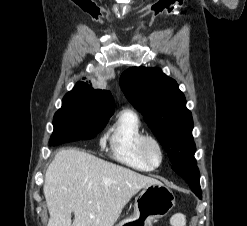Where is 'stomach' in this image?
I'll return each instance as SVG.
<instances>
[{
    "label": "stomach",
    "mask_w": 247,
    "mask_h": 226,
    "mask_svg": "<svg viewBox=\"0 0 247 226\" xmlns=\"http://www.w3.org/2000/svg\"><path fill=\"white\" fill-rule=\"evenodd\" d=\"M175 206L173 192L161 182L146 186L136 197L133 215L117 226H152L155 219L167 215Z\"/></svg>",
    "instance_id": "0dacf381"
}]
</instances>
